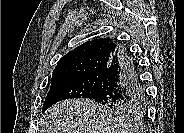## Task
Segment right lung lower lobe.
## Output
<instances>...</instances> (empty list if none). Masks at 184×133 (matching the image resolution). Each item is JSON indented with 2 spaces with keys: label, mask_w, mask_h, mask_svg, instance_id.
<instances>
[{
  "label": "right lung lower lobe",
  "mask_w": 184,
  "mask_h": 133,
  "mask_svg": "<svg viewBox=\"0 0 184 133\" xmlns=\"http://www.w3.org/2000/svg\"><path fill=\"white\" fill-rule=\"evenodd\" d=\"M102 78L101 90L93 98L95 102L123 105L138 103L145 98L137 64L121 45H117Z\"/></svg>",
  "instance_id": "obj_1"
}]
</instances>
